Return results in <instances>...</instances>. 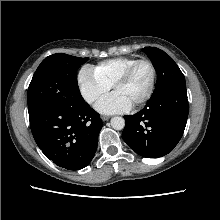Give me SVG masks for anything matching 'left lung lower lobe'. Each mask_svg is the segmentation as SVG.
Wrapping results in <instances>:
<instances>
[{
  "mask_svg": "<svg viewBox=\"0 0 220 220\" xmlns=\"http://www.w3.org/2000/svg\"><path fill=\"white\" fill-rule=\"evenodd\" d=\"M188 117L186 84L151 96L134 115L124 116V141L137 154L158 158L171 152L181 139Z\"/></svg>",
  "mask_w": 220,
  "mask_h": 220,
  "instance_id": "0a47b994",
  "label": "left lung lower lobe"
}]
</instances>
